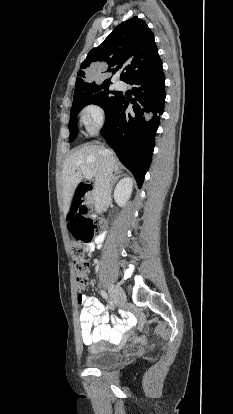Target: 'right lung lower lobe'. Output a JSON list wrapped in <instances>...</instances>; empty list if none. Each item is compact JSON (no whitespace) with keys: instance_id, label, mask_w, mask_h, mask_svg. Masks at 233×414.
Returning a JSON list of instances; mask_svg holds the SVG:
<instances>
[{"instance_id":"right-lung-lower-lobe-1","label":"right lung lower lobe","mask_w":233,"mask_h":414,"mask_svg":"<svg viewBox=\"0 0 233 414\" xmlns=\"http://www.w3.org/2000/svg\"><path fill=\"white\" fill-rule=\"evenodd\" d=\"M134 84L131 101L123 95L105 112L102 136L116 152L119 160L133 173L139 187L150 165L154 138L164 110L165 77L162 67L151 74L127 81Z\"/></svg>"}]
</instances>
